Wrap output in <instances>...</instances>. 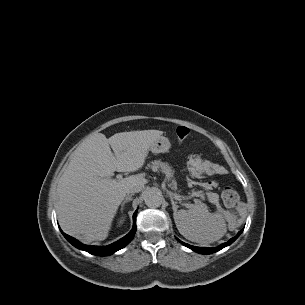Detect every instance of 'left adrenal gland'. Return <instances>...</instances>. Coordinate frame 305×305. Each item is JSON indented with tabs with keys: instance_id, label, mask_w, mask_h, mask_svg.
Wrapping results in <instances>:
<instances>
[{
	"instance_id": "a2214340",
	"label": "left adrenal gland",
	"mask_w": 305,
	"mask_h": 305,
	"mask_svg": "<svg viewBox=\"0 0 305 305\" xmlns=\"http://www.w3.org/2000/svg\"><path fill=\"white\" fill-rule=\"evenodd\" d=\"M172 205H173V208L175 209V203H174V201L172 200Z\"/></svg>"
}]
</instances>
